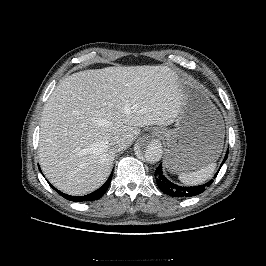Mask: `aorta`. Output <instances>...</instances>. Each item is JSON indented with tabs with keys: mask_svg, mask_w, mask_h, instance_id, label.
I'll return each instance as SVG.
<instances>
[{
	"mask_svg": "<svg viewBox=\"0 0 266 266\" xmlns=\"http://www.w3.org/2000/svg\"><path fill=\"white\" fill-rule=\"evenodd\" d=\"M136 152L142 155L147 161L155 163L162 157V144L159 140L142 139L136 146Z\"/></svg>",
	"mask_w": 266,
	"mask_h": 266,
	"instance_id": "762f6f07",
	"label": "aorta"
}]
</instances>
